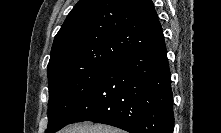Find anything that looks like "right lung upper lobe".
<instances>
[{"mask_svg":"<svg viewBox=\"0 0 221 133\" xmlns=\"http://www.w3.org/2000/svg\"><path fill=\"white\" fill-rule=\"evenodd\" d=\"M163 41L151 0H80L55 36L48 75L68 67L111 65Z\"/></svg>","mask_w":221,"mask_h":133,"instance_id":"obj_1","label":"right lung upper lobe"}]
</instances>
